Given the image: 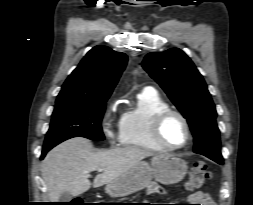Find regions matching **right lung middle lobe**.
Listing matches in <instances>:
<instances>
[{"instance_id": "obj_1", "label": "right lung middle lobe", "mask_w": 253, "mask_h": 205, "mask_svg": "<svg viewBox=\"0 0 253 205\" xmlns=\"http://www.w3.org/2000/svg\"><path fill=\"white\" fill-rule=\"evenodd\" d=\"M106 101L56 102L43 148L54 147L72 137L104 140L101 120Z\"/></svg>"}]
</instances>
